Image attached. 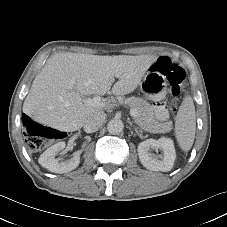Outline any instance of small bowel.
<instances>
[{
	"label": "small bowel",
	"instance_id": "1",
	"mask_svg": "<svg viewBox=\"0 0 227 227\" xmlns=\"http://www.w3.org/2000/svg\"><path fill=\"white\" fill-rule=\"evenodd\" d=\"M172 108V103L170 101H158L154 106V113L157 119L163 121L168 117L167 110Z\"/></svg>",
	"mask_w": 227,
	"mask_h": 227
}]
</instances>
